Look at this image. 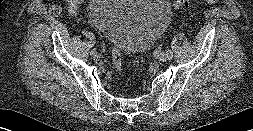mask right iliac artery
Instances as JSON below:
<instances>
[{
	"mask_svg": "<svg viewBox=\"0 0 253 131\" xmlns=\"http://www.w3.org/2000/svg\"><path fill=\"white\" fill-rule=\"evenodd\" d=\"M92 49H93L94 51H97V50L99 49V46H98L97 44H94V45L92 46Z\"/></svg>",
	"mask_w": 253,
	"mask_h": 131,
	"instance_id": "right-iliac-artery-1",
	"label": "right iliac artery"
}]
</instances>
